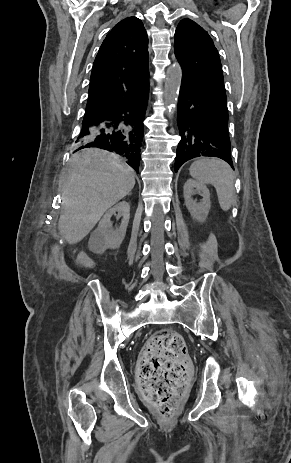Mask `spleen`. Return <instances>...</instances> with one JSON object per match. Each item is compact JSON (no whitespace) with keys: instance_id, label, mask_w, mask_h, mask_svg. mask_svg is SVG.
Masks as SVG:
<instances>
[{"instance_id":"1","label":"spleen","mask_w":291,"mask_h":463,"mask_svg":"<svg viewBox=\"0 0 291 463\" xmlns=\"http://www.w3.org/2000/svg\"><path fill=\"white\" fill-rule=\"evenodd\" d=\"M189 172L198 182L215 187L223 211L231 208L234 198V175L226 162L217 159H200L192 163Z\"/></svg>"}]
</instances>
